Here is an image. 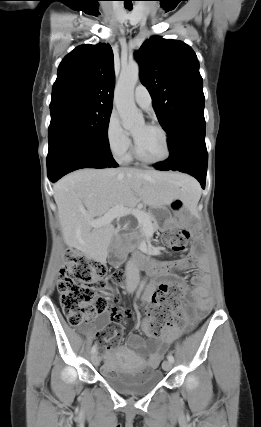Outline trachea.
<instances>
[{
    "label": "trachea",
    "mask_w": 261,
    "mask_h": 427,
    "mask_svg": "<svg viewBox=\"0 0 261 427\" xmlns=\"http://www.w3.org/2000/svg\"><path fill=\"white\" fill-rule=\"evenodd\" d=\"M125 8L131 10L132 9V4L130 3H124Z\"/></svg>",
    "instance_id": "obj_1"
}]
</instances>
